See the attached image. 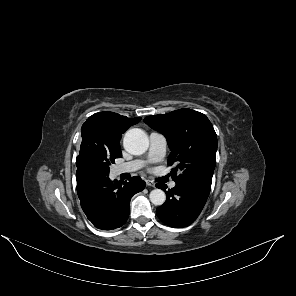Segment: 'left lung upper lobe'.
<instances>
[{"label":"left lung upper lobe","mask_w":296,"mask_h":296,"mask_svg":"<svg viewBox=\"0 0 296 296\" xmlns=\"http://www.w3.org/2000/svg\"><path fill=\"white\" fill-rule=\"evenodd\" d=\"M161 132L171 149L168 163L176 183L212 182L216 164L217 135L206 115L180 109L168 114L152 115L144 119ZM180 174L176 176V172Z\"/></svg>","instance_id":"5c2ea615"}]
</instances>
